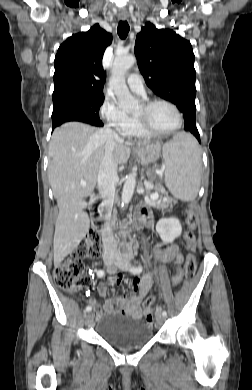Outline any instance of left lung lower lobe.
Wrapping results in <instances>:
<instances>
[{
	"mask_svg": "<svg viewBox=\"0 0 252 390\" xmlns=\"http://www.w3.org/2000/svg\"><path fill=\"white\" fill-rule=\"evenodd\" d=\"M184 120H185L184 129L186 131H190L193 135H195L196 138L198 139V141L200 142V135H199L197 127H196L195 114L185 115Z\"/></svg>",
	"mask_w": 252,
	"mask_h": 390,
	"instance_id": "obj_1",
	"label": "left lung lower lobe"
}]
</instances>
